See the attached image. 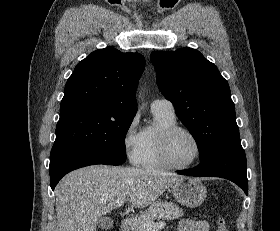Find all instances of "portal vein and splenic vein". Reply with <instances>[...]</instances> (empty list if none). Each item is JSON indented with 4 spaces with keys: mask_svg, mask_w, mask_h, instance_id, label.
Wrapping results in <instances>:
<instances>
[{
    "mask_svg": "<svg viewBox=\"0 0 280 231\" xmlns=\"http://www.w3.org/2000/svg\"><path fill=\"white\" fill-rule=\"evenodd\" d=\"M118 205H123L124 203V197L123 199H120V201H117ZM166 225L165 221H158V223H154V221H151V219H148L146 221L144 227L145 231H155V229H162Z\"/></svg>",
    "mask_w": 280,
    "mask_h": 231,
    "instance_id": "18ae733b",
    "label": "portal vein and splenic vein"
}]
</instances>
